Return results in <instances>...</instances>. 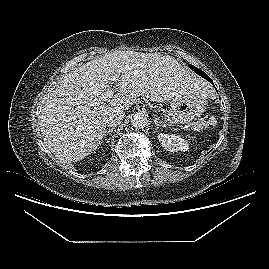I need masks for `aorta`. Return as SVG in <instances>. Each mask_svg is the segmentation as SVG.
<instances>
[{
    "mask_svg": "<svg viewBox=\"0 0 269 269\" xmlns=\"http://www.w3.org/2000/svg\"><path fill=\"white\" fill-rule=\"evenodd\" d=\"M131 124L136 129H142L147 126V115L142 112H136L131 117Z\"/></svg>",
    "mask_w": 269,
    "mask_h": 269,
    "instance_id": "aorta-1",
    "label": "aorta"
}]
</instances>
